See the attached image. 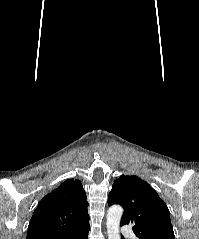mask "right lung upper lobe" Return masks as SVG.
<instances>
[{
  "label": "right lung upper lobe",
  "instance_id": "obj_1",
  "mask_svg": "<svg viewBox=\"0 0 199 239\" xmlns=\"http://www.w3.org/2000/svg\"><path fill=\"white\" fill-rule=\"evenodd\" d=\"M86 193L79 180L69 179L38 204L26 239H58L89 224Z\"/></svg>",
  "mask_w": 199,
  "mask_h": 239
}]
</instances>
